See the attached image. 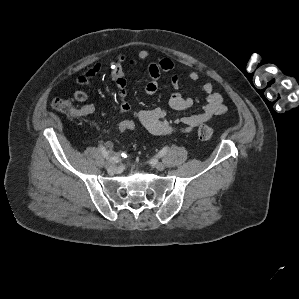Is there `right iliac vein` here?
<instances>
[{
	"label": "right iliac vein",
	"instance_id": "obj_1",
	"mask_svg": "<svg viewBox=\"0 0 299 299\" xmlns=\"http://www.w3.org/2000/svg\"><path fill=\"white\" fill-rule=\"evenodd\" d=\"M105 168L109 171H113L116 168V165L112 162H106Z\"/></svg>",
	"mask_w": 299,
	"mask_h": 299
}]
</instances>
